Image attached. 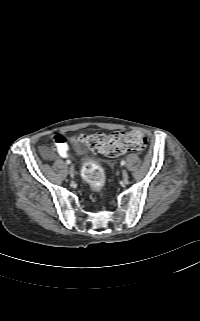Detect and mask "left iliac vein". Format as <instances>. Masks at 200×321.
I'll list each match as a JSON object with an SVG mask.
<instances>
[{
    "label": "left iliac vein",
    "instance_id": "1",
    "mask_svg": "<svg viewBox=\"0 0 200 321\" xmlns=\"http://www.w3.org/2000/svg\"><path fill=\"white\" fill-rule=\"evenodd\" d=\"M122 177H123L124 181H126L128 179V172L125 169H123V171H122Z\"/></svg>",
    "mask_w": 200,
    "mask_h": 321
}]
</instances>
